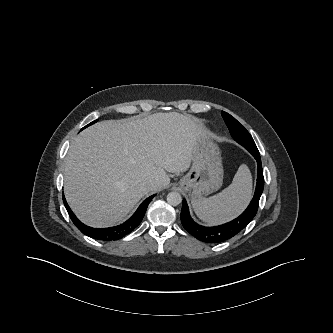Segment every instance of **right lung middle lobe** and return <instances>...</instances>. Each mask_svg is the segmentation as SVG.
<instances>
[{"mask_svg":"<svg viewBox=\"0 0 333 333\" xmlns=\"http://www.w3.org/2000/svg\"><path fill=\"white\" fill-rule=\"evenodd\" d=\"M96 121H97V120H95V121L91 122L90 124H88V125H87V126H85L84 128H86V127H88V126H90V125L94 124ZM84 128H83V129H84Z\"/></svg>","mask_w":333,"mask_h":333,"instance_id":"1","label":"right lung middle lobe"}]
</instances>
